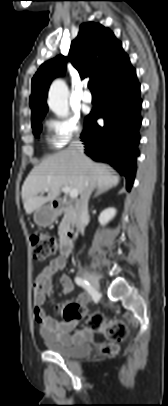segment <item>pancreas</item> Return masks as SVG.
Returning a JSON list of instances; mask_svg holds the SVG:
<instances>
[{
	"label": "pancreas",
	"mask_w": 168,
	"mask_h": 406,
	"mask_svg": "<svg viewBox=\"0 0 168 406\" xmlns=\"http://www.w3.org/2000/svg\"><path fill=\"white\" fill-rule=\"evenodd\" d=\"M73 221H74V212L71 209H67L64 213L62 222L59 225L58 231L59 236H62L67 230L70 229V225L73 223Z\"/></svg>",
	"instance_id": "cf45deb5"
}]
</instances>
